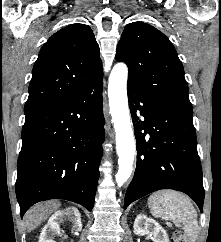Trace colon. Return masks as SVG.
<instances>
[{"instance_id":"colon-1","label":"colon","mask_w":221,"mask_h":242,"mask_svg":"<svg viewBox=\"0 0 221 242\" xmlns=\"http://www.w3.org/2000/svg\"><path fill=\"white\" fill-rule=\"evenodd\" d=\"M171 242H189V240L182 230H175Z\"/></svg>"}]
</instances>
